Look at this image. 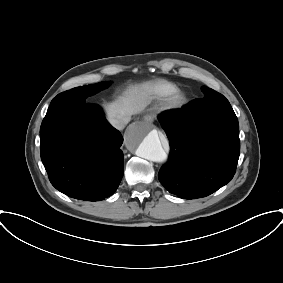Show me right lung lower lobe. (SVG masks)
Masks as SVG:
<instances>
[{"mask_svg":"<svg viewBox=\"0 0 283 283\" xmlns=\"http://www.w3.org/2000/svg\"><path fill=\"white\" fill-rule=\"evenodd\" d=\"M40 142L41 160L60 192L100 201L118 188L123 137L105 120L100 107L81 98L53 102L41 124Z\"/></svg>","mask_w":283,"mask_h":283,"instance_id":"right-lung-lower-lobe-1","label":"right lung lower lobe"}]
</instances>
